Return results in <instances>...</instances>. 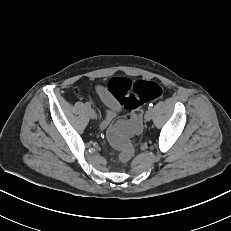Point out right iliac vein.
Returning a JSON list of instances; mask_svg holds the SVG:
<instances>
[{"label": "right iliac vein", "instance_id": "63e3f726", "mask_svg": "<svg viewBox=\"0 0 231 231\" xmlns=\"http://www.w3.org/2000/svg\"><path fill=\"white\" fill-rule=\"evenodd\" d=\"M88 112H89V116H90V118H91V119H95L96 114H95L94 109L89 108Z\"/></svg>", "mask_w": 231, "mask_h": 231}]
</instances>
